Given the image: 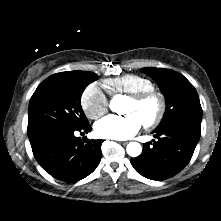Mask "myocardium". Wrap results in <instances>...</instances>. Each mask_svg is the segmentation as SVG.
Returning <instances> with one entry per match:
<instances>
[{
    "instance_id": "f54148a6",
    "label": "myocardium",
    "mask_w": 221,
    "mask_h": 221,
    "mask_svg": "<svg viewBox=\"0 0 221 221\" xmlns=\"http://www.w3.org/2000/svg\"><path fill=\"white\" fill-rule=\"evenodd\" d=\"M129 100L137 105H142L150 101H154L157 105L155 114L143 121L146 128L157 126L163 120L166 113V100L162 93L153 89L129 95Z\"/></svg>"
}]
</instances>
